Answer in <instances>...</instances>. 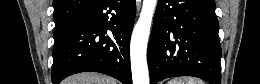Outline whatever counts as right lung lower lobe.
I'll list each match as a JSON object with an SVG mask.
<instances>
[{
	"instance_id": "obj_1",
	"label": "right lung lower lobe",
	"mask_w": 260,
	"mask_h": 84,
	"mask_svg": "<svg viewBox=\"0 0 260 84\" xmlns=\"http://www.w3.org/2000/svg\"><path fill=\"white\" fill-rule=\"evenodd\" d=\"M136 0H97L54 31L52 82L86 71L132 84L129 45Z\"/></svg>"
}]
</instances>
